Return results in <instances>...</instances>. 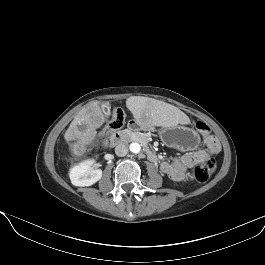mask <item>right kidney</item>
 <instances>
[{
	"mask_svg": "<svg viewBox=\"0 0 265 265\" xmlns=\"http://www.w3.org/2000/svg\"><path fill=\"white\" fill-rule=\"evenodd\" d=\"M95 161L87 160L74 166L69 173L71 183L74 186H91L102 177V171L92 167Z\"/></svg>",
	"mask_w": 265,
	"mask_h": 265,
	"instance_id": "obj_1",
	"label": "right kidney"
}]
</instances>
